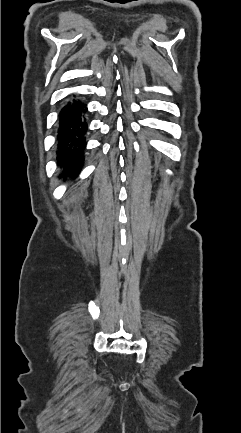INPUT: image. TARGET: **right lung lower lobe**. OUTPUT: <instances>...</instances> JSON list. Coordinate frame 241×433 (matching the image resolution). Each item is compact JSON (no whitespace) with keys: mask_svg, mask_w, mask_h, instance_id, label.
Here are the masks:
<instances>
[{"mask_svg":"<svg viewBox=\"0 0 241 433\" xmlns=\"http://www.w3.org/2000/svg\"><path fill=\"white\" fill-rule=\"evenodd\" d=\"M86 113V104L73 96L65 103L59 114L57 158L64 170H69L72 174L74 171L78 174L83 165L88 128Z\"/></svg>","mask_w":241,"mask_h":433,"instance_id":"1","label":"right lung lower lobe"}]
</instances>
